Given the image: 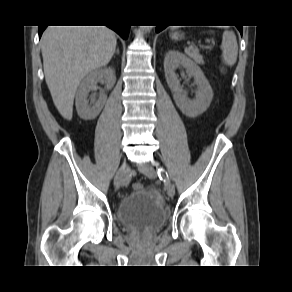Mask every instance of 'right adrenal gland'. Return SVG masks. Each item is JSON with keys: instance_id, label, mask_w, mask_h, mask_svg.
<instances>
[{"instance_id": "right-adrenal-gland-1", "label": "right adrenal gland", "mask_w": 292, "mask_h": 292, "mask_svg": "<svg viewBox=\"0 0 292 292\" xmlns=\"http://www.w3.org/2000/svg\"><path fill=\"white\" fill-rule=\"evenodd\" d=\"M116 53L119 54V48L116 49Z\"/></svg>"}]
</instances>
